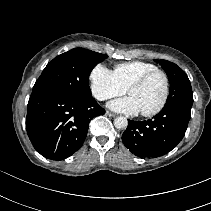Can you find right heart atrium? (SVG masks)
Masks as SVG:
<instances>
[{"label":"right heart atrium","mask_w":211,"mask_h":211,"mask_svg":"<svg viewBox=\"0 0 211 211\" xmlns=\"http://www.w3.org/2000/svg\"><path fill=\"white\" fill-rule=\"evenodd\" d=\"M90 89L100 101L120 96L126 89L118 82L113 71L102 64H96L90 71Z\"/></svg>","instance_id":"1"}]
</instances>
